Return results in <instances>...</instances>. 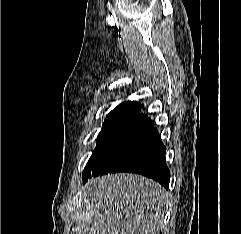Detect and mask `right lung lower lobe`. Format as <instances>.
I'll list each match as a JSON object with an SVG mask.
<instances>
[{"label": "right lung lower lobe", "mask_w": 241, "mask_h": 234, "mask_svg": "<svg viewBox=\"0 0 241 234\" xmlns=\"http://www.w3.org/2000/svg\"><path fill=\"white\" fill-rule=\"evenodd\" d=\"M140 111L138 106L98 147L84 169L85 181L91 176L132 172L168 188L170 171L165 161L166 148L153 121Z\"/></svg>", "instance_id": "right-lung-lower-lobe-1"}]
</instances>
